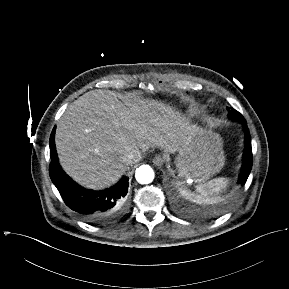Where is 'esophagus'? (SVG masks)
I'll return each mask as SVG.
<instances>
[{"instance_id":"1","label":"esophagus","mask_w":289,"mask_h":289,"mask_svg":"<svg viewBox=\"0 0 289 289\" xmlns=\"http://www.w3.org/2000/svg\"><path fill=\"white\" fill-rule=\"evenodd\" d=\"M153 163L157 167H162L163 164L165 163V158L163 156H161V155H156L153 158Z\"/></svg>"}]
</instances>
